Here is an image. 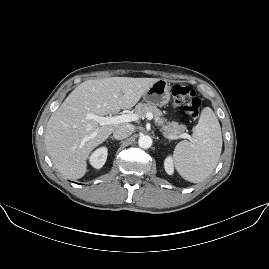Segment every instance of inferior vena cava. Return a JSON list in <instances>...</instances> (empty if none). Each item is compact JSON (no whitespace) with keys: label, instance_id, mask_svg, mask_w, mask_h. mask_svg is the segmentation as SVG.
I'll return each mask as SVG.
<instances>
[{"label":"inferior vena cava","instance_id":"1","mask_svg":"<svg viewBox=\"0 0 269 269\" xmlns=\"http://www.w3.org/2000/svg\"><path fill=\"white\" fill-rule=\"evenodd\" d=\"M133 131H134L133 125L123 124L114 130L113 136L117 140H122L129 137L133 133Z\"/></svg>","mask_w":269,"mask_h":269}]
</instances>
